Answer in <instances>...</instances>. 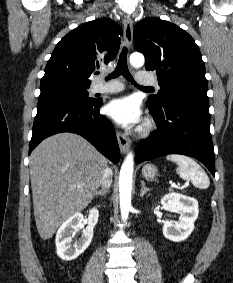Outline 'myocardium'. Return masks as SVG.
Here are the masks:
<instances>
[{"label":"myocardium","mask_w":233,"mask_h":283,"mask_svg":"<svg viewBox=\"0 0 233 283\" xmlns=\"http://www.w3.org/2000/svg\"><path fill=\"white\" fill-rule=\"evenodd\" d=\"M156 129V124L153 120L148 119L144 122L143 126L140 129V134L143 137L151 135Z\"/></svg>","instance_id":"1"}]
</instances>
